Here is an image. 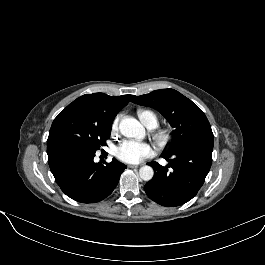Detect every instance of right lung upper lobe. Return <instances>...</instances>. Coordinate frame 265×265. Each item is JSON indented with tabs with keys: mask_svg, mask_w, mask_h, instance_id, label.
Wrapping results in <instances>:
<instances>
[{
	"mask_svg": "<svg viewBox=\"0 0 265 265\" xmlns=\"http://www.w3.org/2000/svg\"><path fill=\"white\" fill-rule=\"evenodd\" d=\"M133 95L108 96L104 93L83 95L69 104L60 114L76 113L103 122H112Z\"/></svg>",
	"mask_w": 265,
	"mask_h": 265,
	"instance_id": "obj_1",
	"label": "right lung upper lobe"
}]
</instances>
